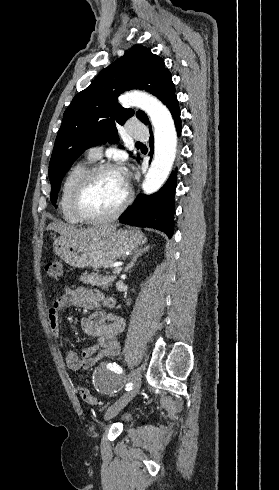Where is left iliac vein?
<instances>
[{"mask_svg":"<svg viewBox=\"0 0 279 490\" xmlns=\"http://www.w3.org/2000/svg\"><path fill=\"white\" fill-rule=\"evenodd\" d=\"M128 379L132 381V388L129 392L124 393L116 404L111 406L105 412V420H109L115 417L129 402L132 400L135 395L138 393L140 385H141V374L137 369H133L128 376Z\"/></svg>","mask_w":279,"mask_h":490,"instance_id":"4c4485c4","label":"left iliac vein"}]
</instances>
